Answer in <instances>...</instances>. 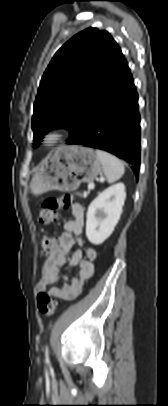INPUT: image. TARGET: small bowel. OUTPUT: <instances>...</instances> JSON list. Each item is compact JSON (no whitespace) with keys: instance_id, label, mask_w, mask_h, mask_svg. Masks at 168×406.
<instances>
[{"instance_id":"1","label":"small bowel","mask_w":168,"mask_h":406,"mask_svg":"<svg viewBox=\"0 0 168 406\" xmlns=\"http://www.w3.org/2000/svg\"><path fill=\"white\" fill-rule=\"evenodd\" d=\"M69 213L73 219L65 222L64 230L59 237V248L45 260L42 276L36 284V291L43 292L62 278V286H52L48 292L51 296L63 300H73L81 294L84 283L94 273V261L97 257V251L92 247L87 248L84 253L82 250H76L69 259V265L79 267L77 275L73 278L62 276L61 268L67 262L69 251L76 245L82 246L84 243L82 238L84 209L79 204H73Z\"/></svg>"}]
</instances>
